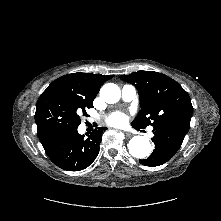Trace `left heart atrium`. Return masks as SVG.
I'll return each instance as SVG.
<instances>
[{
  "label": "left heart atrium",
  "mask_w": 221,
  "mask_h": 221,
  "mask_svg": "<svg viewBox=\"0 0 221 221\" xmlns=\"http://www.w3.org/2000/svg\"><path fill=\"white\" fill-rule=\"evenodd\" d=\"M108 124L111 126H115V127H119L125 124L126 122V117L123 113L117 112L112 114L109 118H108Z\"/></svg>",
  "instance_id": "obj_1"
}]
</instances>
